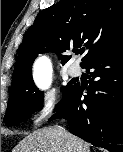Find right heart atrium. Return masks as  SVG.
Returning a JSON list of instances; mask_svg holds the SVG:
<instances>
[{"label": "right heart atrium", "mask_w": 123, "mask_h": 152, "mask_svg": "<svg viewBox=\"0 0 123 152\" xmlns=\"http://www.w3.org/2000/svg\"><path fill=\"white\" fill-rule=\"evenodd\" d=\"M57 98L53 94H45L37 101L31 112V121L40 125L50 118L57 108Z\"/></svg>", "instance_id": "d8ad5b80"}]
</instances>
